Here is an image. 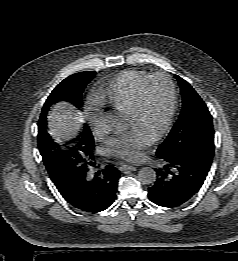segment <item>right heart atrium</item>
<instances>
[{
    "instance_id": "obj_1",
    "label": "right heart atrium",
    "mask_w": 238,
    "mask_h": 261,
    "mask_svg": "<svg viewBox=\"0 0 238 261\" xmlns=\"http://www.w3.org/2000/svg\"><path fill=\"white\" fill-rule=\"evenodd\" d=\"M86 116L93 135L96 137L104 136L106 133V129L104 126L102 114L94 108H89L87 110Z\"/></svg>"
}]
</instances>
